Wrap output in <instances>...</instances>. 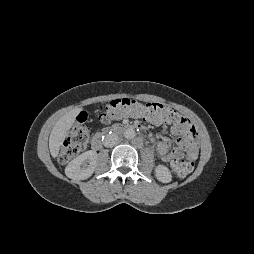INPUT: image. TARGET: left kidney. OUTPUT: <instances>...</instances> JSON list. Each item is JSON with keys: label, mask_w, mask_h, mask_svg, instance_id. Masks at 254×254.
Here are the masks:
<instances>
[{"label": "left kidney", "mask_w": 254, "mask_h": 254, "mask_svg": "<svg viewBox=\"0 0 254 254\" xmlns=\"http://www.w3.org/2000/svg\"><path fill=\"white\" fill-rule=\"evenodd\" d=\"M156 178L163 183H169L172 180L170 170L164 165H158L155 169Z\"/></svg>", "instance_id": "left-kidney-1"}]
</instances>
